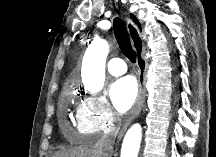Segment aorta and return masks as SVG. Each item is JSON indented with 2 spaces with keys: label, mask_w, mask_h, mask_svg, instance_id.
<instances>
[{
  "label": "aorta",
  "mask_w": 216,
  "mask_h": 157,
  "mask_svg": "<svg viewBox=\"0 0 216 157\" xmlns=\"http://www.w3.org/2000/svg\"><path fill=\"white\" fill-rule=\"evenodd\" d=\"M109 53V44L106 40L95 39L88 46L82 63V82L84 87L91 93L102 90L105 81V63ZM142 138V128L134 124L126 133L121 157H138Z\"/></svg>",
  "instance_id": "762f6f07"
}]
</instances>
